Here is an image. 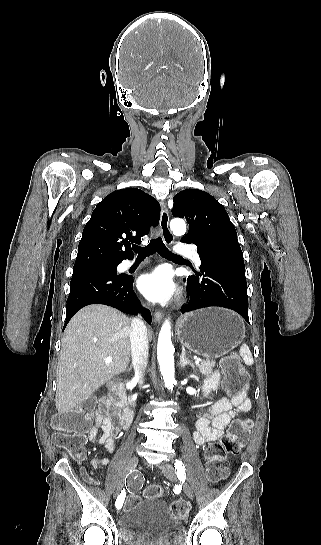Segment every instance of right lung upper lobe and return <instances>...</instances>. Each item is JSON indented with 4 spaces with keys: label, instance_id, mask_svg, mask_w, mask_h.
<instances>
[{
    "label": "right lung upper lobe",
    "instance_id": "obj_1",
    "mask_svg": "<svg viewBox=\"0 0 321 545\" xmlns=\"http://www.w3.org/2000/svg\"><path fill=\"white\" fill-rule=\"evenodd\" d=\"M160 218L158 201L137 188L106 196L86 224L73 269L118 265L132 258L131 242L140 243Z\"/></svg>",
    "mask_w": 321,
    "mask_h": 545
}]
</instances>
